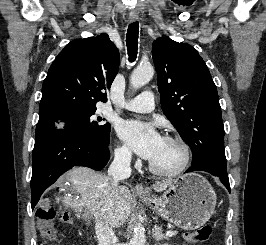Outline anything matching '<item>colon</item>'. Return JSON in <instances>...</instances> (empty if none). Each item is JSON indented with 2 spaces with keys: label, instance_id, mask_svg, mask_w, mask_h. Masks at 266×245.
Returning a JSON list of instances; mask_svg holds the SVG:
<instances>
[{
  "label": "colon",
  "instance_id": "5ec220e1",
  "mask_svg": "<svg viewBox=\"0 0 266 245\" xmlns=\"http://www.w3.org/2000/svg\"><path fill=\"white\" fill-rule=\"evenodd\" d=\"M56 209L53 206L40 207L36 211L37 226L43 238L44 245H59L57 232L54 226ZM212 233V227L203 225L197 230L187 233L186 236L192 240L202 243L207 241Z\"/></svg>",
  "mask_w": 266,
  "mask_h": 245
}]
</instances>
